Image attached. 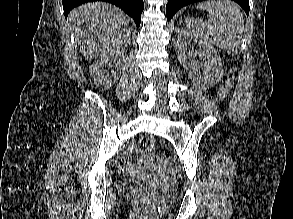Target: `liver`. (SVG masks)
Masks as SVG:
<instances>
[{
  "label": "liver",
  "mask_w": 293,
  "mask_h": 219,
  "mask_svg": "<svg viewBox=\"0 0 293 219\" xmlns=\"http://www.w3.org/2000/svg\"><path fill=\"white\" fill-rule=\"evenodd\" d=\"M68 20L86 60L122 55L130 45L126 15L114 5L87 3L73 9Z\"/></svg>",
  "instance_id": "6515ba94"
}]
</instances>
